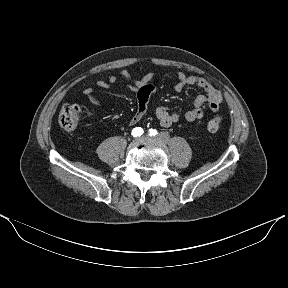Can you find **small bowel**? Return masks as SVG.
Here are the masks:
<instances>
[{"label": "small bowel", "instance_id": "obj_1", "mask_svg": "<svg viewBox=\"0 0 288 288\" xmlns=\"http://www.w3.org/2000/svg\"><path fill=\"white\" fill-rule=\"evenodd\" d=\"M121 76L126 81L127 87L137 93L136 111L128 122L129 126H134L139 123L147 113L148 101L151 94L154 92V86L151 83L153 74L148 73L141 79H134L128 71L122 70ZM117 81V77L111 75L107 80H98L96 84L100 88L108 89L112 85L116 84ZM186 86H197L204 91V94L198 95L194 101V107L185 112L170 109L166 106H159L156 109L155 114L162 126L169 127L172 124L179 122L181 119H185L189 122L196 121L203 118L206 110L216 112L219 109L222 96L208 80L194 75H187L184 72H179L177 75L175 90L181 91ZM84 94L93 105L97 107L102 106V103L96 97L93 88H86Z\"/></svg>", "mask_w": 288, "mask_h": 288}]
</instances>
